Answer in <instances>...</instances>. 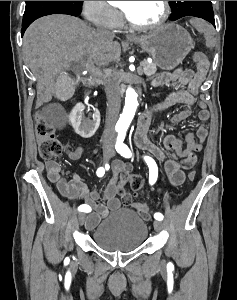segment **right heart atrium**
Instances as JSON below:
<instances>
[{
	"instance_id": "right-heart-atrium-1",
	"label": "right heart atrium",
	"mask_w": 237,
	"mask_h": 300,
	"mask_svg": "<svg viewBox=\"0 0 237 300\" xmlns=\"http://www.w3.org/2000/svg\"><path fill=\"white\" fill-rule=\"evenodd\" d=\"M82 11L85 19L96 27L114 30L122 22L119 11L107 1H83Z\"/></svg>"
}]
</instances>
